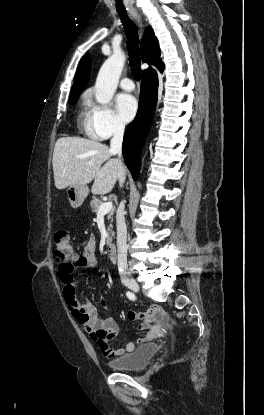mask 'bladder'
Instances as JSON below:
<instances>
[{"instance_id":"1","label":"bladder","mask_w":264,"mask_h":415,"mask_svg":"<svg viewBox=\"0 0 264 415\" xmlns=\"http://www.w3.org/2000/svg\"><path fill=\"white\" fill-rule=\"evenodd\" d=\"M158 349V345L155 343L141 345L130 353L110 360L108 365L115 370L144 369L149 365Z\"/></svg>"}]
</instances>
